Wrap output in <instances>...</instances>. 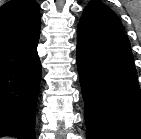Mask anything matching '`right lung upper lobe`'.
<instances>
[{
    "mask_svg": "<svg viewBox=\"0 0 141 139\" xmlns=\"http://www.w3.org/2000/svg\"><path fill=\"white\" fill-rule=\"evenodd\" d=\"M40 6L35 0H11L0 7V46L40 32Z\"/></svg>",
    "mask_w": 141,
    "mask_h": 139,
    "instance_id": "right-lung-upper-lobe-1",
    "label": "right lung upper lobe"
}]
</instances>
